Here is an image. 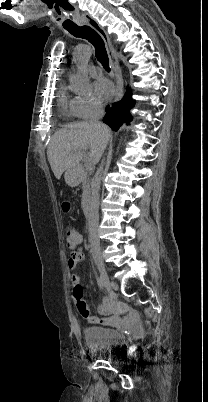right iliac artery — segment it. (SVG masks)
I'll list each match as a JSON object with an SVG mask.
<instances>
[{
    "instance_id": "82829eb1",
    "label": "right iliac artery",
    "mask_w": 208,
    "mask_h": 402,
    "mask_svg": "<svg viewBox=\"0 0 208 402\" xmlns=\"http://www.w3.org/2000/svg\"><path fill=\"white\" fill-rule=\"evenodd\" d=\"M97 283H98V286L101 288V289H104V283L102 282V279H101V277H98L97 278Z\"/></svg>"
}]
</instances>
